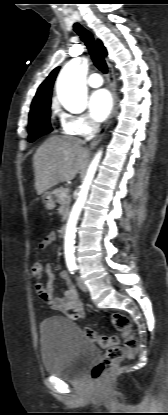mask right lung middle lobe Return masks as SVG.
Listing matches in <instances>:
<instances>
[{
	"mask_svg": "<svg viewBox=\"0 0 168 415\" xmlns=\"http://www.w3.org/2000/svg\"><path fill=\"white\" fill-rule=\"evenodd\" d=\"M50 104L40 107L29 114V142H33L38 137L50 133Z\"/></svg>",
	"mask_w": 168,
	"mask_h": 415,
	"instance_id": "obj_1",
	"label": "right lung middle lobe"
}]
</instances>
